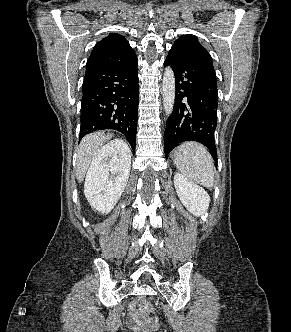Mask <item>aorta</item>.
<instances>
[{"instance_id": "1", "label": "aorta", "mask_w": 291, "mask_h": 332, "mask_svg": "<svg viewBox=\"0 0 291 332\" xmlns=\"http://www.w3.org/2000/svg\"><path fill=\"white\" fill-rule=\"evenodd\" d=\"M163 107L166 117L173 112L175 102V77L172 68L167 67L162 81Z\"/></svg>"}]
</instances>
